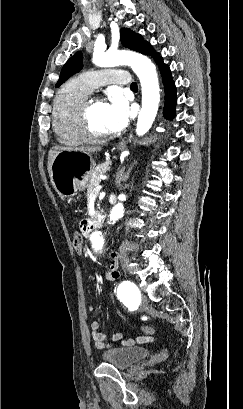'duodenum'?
Here are the masks:
<instances>
[{"mask_svg":"<svg viewBox=\"0 0 243 409\" xmlns=\"http://www.w3.org/2000/svg\"><path fill=\"white\" fill-rule=\"evenodd\" d=\"M101 227V223L99 220L89 221L85 224V230H95Z\"/></svg>","mask_w":243,"mask_h":409,"instance_id":"duodenum-1","label":"duodenum"}]
</instances>
